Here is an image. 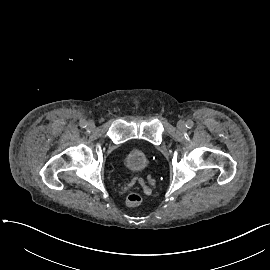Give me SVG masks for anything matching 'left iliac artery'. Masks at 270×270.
<instances>
[{
    "label": "left iliac artery",
    "instance_id": "left-iliac-artery-1",
    "mask_svg": "<svg viewBox=\"0 0 270 270\" xmlns=\"http://www.w3.org/2000/svg\"><path fill=\"white\" fill-rule=\"evenodd\" d=\"M193 125H194V123H193V121H191V120L187 121V123H186V127H187V128H192Z\"/></svg>",
    "mask_w": 270,
    "mask_h": 270
}]
</instances>
